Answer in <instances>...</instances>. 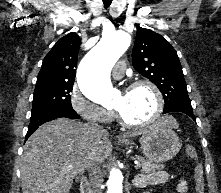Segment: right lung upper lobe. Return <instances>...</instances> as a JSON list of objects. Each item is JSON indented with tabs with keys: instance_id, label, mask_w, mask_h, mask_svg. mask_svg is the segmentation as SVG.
<instances>
[{
	"instance_id": "1",
	"label": "right lung upper lobe",
	"mask_w": 221,
	"mask_h": 193,
	"mask_svg": "<svg viewBox=\"0 0 221 193\" xmlns=\"http://www.w3.org/2000/svg\"><path fill=\"white\" fill-rule=\"evenodd\" d=\"M80 42L75 32L61 38L44 58L36 85L74 83Z\"/></svg>"
}]
</instances>
